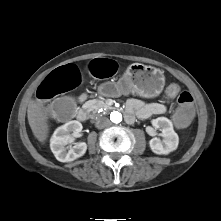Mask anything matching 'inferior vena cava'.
I'll return each instance as SVG.
<instances>
[{"label": "inferior vena cava", "instance_id": "602c4592", "mask_svg": "<svg viewBox=\"0 0 221 221\" xmlns=\"http://www.w3.org/2000/svg\"><path fill=\"white\" fill-rule=\"evenodd\" d=\"M111 122L108 118L106 117H100L96 120V123H95V126L98 128V129H102V128H105V127H108L110 126Z\"/></svg>", "mask_w": 221, "mask_h": 221}]
</instances>
